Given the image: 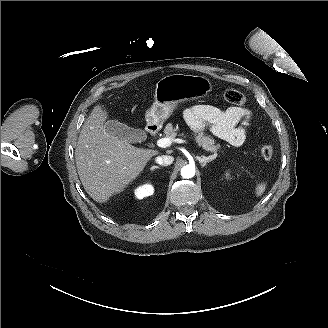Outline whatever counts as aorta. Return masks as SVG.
Masks as SVG:
<instances>
[{
    "label": "aorta",
    "mask_w": 328,
    "mask_h": 328,
    "mask_svg": "<svg viewBox=\"0 0 328 328\" xmlns=\"http://www.w3.org/2000/svg\"><path fill=\"white\" fill-rule=\"evenodd\" d=\"M195 175V167L192 165L183 166L181 169V176L185 179H189L194 177Z\"/></svg>",
    "instance_id": "obj_1"
}]
</instances>
